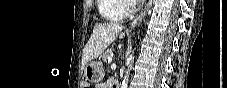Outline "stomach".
Returning <instances> with one entry per match:
<instances>
[{"instance_id": "0dacf381", "label": "stomach", "mask_w": 227, "mask_h": 88, "mask_svg": "<svg viewBox=\"0 0 227 88\" xmlns=\"http://www.w3.org/2000/svg\"><path fill=\"white\" fill-rule=\"evenodd\" d=\"M85 77L88 81L97 83L104 77L102 63L99 61H91L85 67Z\"/></svg>"}]
</instances>
